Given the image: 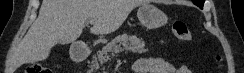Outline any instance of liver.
Segmentation results:
<instances>
[{"label": "liver", "mask_w": 244, "mask_h": 73, "mask_svg": "<svg viewBox=\"0 0 244 73\" xmlns=\"http://www.w3.org/2000/svg\"><path fill=\"white\" fill-rule=\"evenodd\" d=\"M144 0H43L37 20L21 41L12 70L45 60L57 43L74 42L86 21L96 20L91 33L106 35L116 31Z\"/></svg>", "instance_id": "liver-1"}]
</instances>
